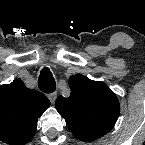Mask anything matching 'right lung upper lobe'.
<instances>
[{
  "label": "right lung upper lobe",
  "instance_id": "obj_1",
  "mask_svg": "<svg viewBox=\"0 0 145 145\" xmlns=\"http://www.w3.org/2000/svg\"><path fill=\"white\" fill-rule=\"evenodd\" d=\"M50 105L46 96L27 88L17 78L0 87V140L23 145L32 140L37 119Z\"/></svg>",
  "mask_w": 145,
  "mask_h": 145
}]
</instances>
